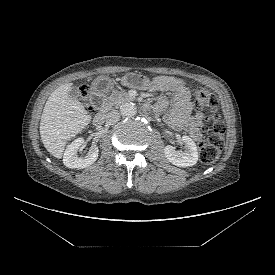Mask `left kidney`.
<instances>
[{
    "label": "left kidney",
    "instance_id": "5707ae66",
    "mask_svg": "<svg viewBox=\"0 0 275 275\" xmlns=\"http://www.w3.org/2000/svg\"><path fill=\"white\" fill-rule=\"evenodd\" d=\"M185 143V151L176 150L173 146L167 145L164 148L165 157L173 165L178 167L194 166L198 161V150L195 142L188 136H182Z\"/></svg>",
    "mask_w": 275,
    "mask_h": 275
}]
</instances>
